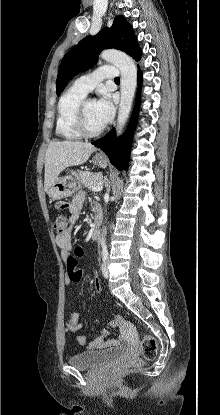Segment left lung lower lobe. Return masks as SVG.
<instances>
[{
  "label": "left lung lower lobe",
  "instance_id": "obj_1",
  "mask_svg": "<svg viewBox=\"0 0 220 415\" xmlns=\"http://www.w3.org/2000/svg\"><path fill=\"white\" fill-rule=\"evenodd\" d=\"M138 61V60H137ZM142 83V72L138 69V91L136 97V105L133 111V116L128 127L127 132L122 138H116L114 129L102 139L93 142L92 144L105 152L109 157L111 163L118 169H126L131 152V144L133 138V130L136 125L139 102H140V89Z\"/></svg>",
  "mask_w": 220,
  "mask_h": 415
}]
</instances>
